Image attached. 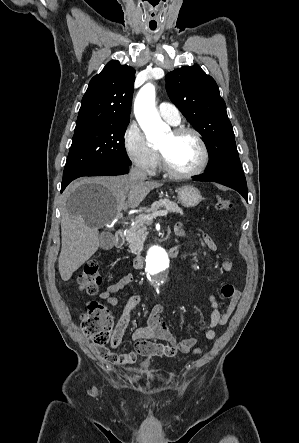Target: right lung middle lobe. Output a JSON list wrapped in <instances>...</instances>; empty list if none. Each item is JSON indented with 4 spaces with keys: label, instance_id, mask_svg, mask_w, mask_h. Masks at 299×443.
Segmentation results:
<instances>
[{
    "label": "right lung middle lobe",
    "instance_id": "obj_1",
    "mask_svg": "<svg viewBox=\"0 0 299 443\" xmlns=\"http://www.w3.org/2000/svg\"><path fill=\"white\" fill-rule=\"evenodd\" d=\"M129 120H109L75 129L62 184L99 168L132 163L124 147Z\"/></svg>",
    "mask_w": 299,
    "mask_h": 443
}]
</instances>
